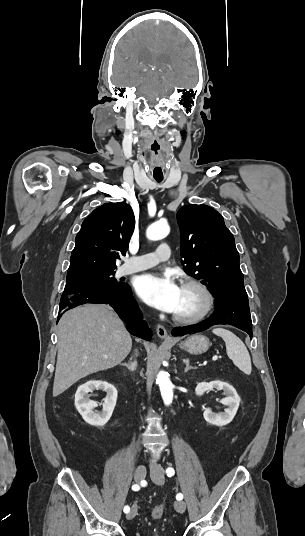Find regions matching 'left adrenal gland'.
<instances>
[{
    "label": "left adrenal gland",
    "instance_id": "1",
    "mask_svg": "<svg viewBox=\"0 0 305 536\" xmlns=\"http://www.w3.org/2000/svg\"><path fill=\"white\" fill-rule=\"evenodd\" d=\"M184 364H186V368L184 370V372H188V370H194L193 366H190V362L187 358V360H184Z\"/></svg>",
    "mask_w": 305,
    "mask_h": 536
}]
</instances>
